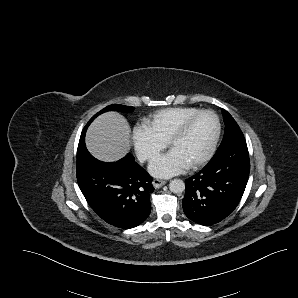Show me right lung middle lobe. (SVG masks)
<instances>
[{"instance_id":"right-lung-middle-lobe-1","label":"right lung middle lobe","mask_w":298,"mask_h":298,"mask_svg":"<svg viewBox=\"0 0 298 298\" xmlns=\"http://www.w3.org/2000/svg\"><path fill=\"white\" fill-rule=\"evenodd\" d=\"M134 110L133 107L131 106H124V105H117V104H113V105H109L107 107H105L104 109H102L101 111H99L97 114H95L91 120L87 123V125L85 126V128L83 129V132L81 134V137H80V141H79V145H80V149L79 150H82L84 149L85 147V141H84V138H85V133H86V129L88 127V125L92 122V120L94 118H96L98 115H100L101 113H104L106 111H120V112H132Z\"/></svg>"}]
</instances>
